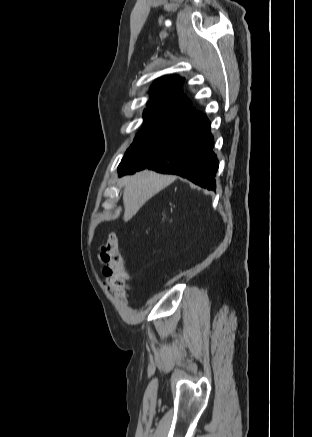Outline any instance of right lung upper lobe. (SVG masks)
<instances>
[{
	"label": "right lung upper lobe",
	"mask_w": 312,
	"mask_h": 437,
	"mask_svg": "<svg viewBox=\"0 0 312 437\" xmlns=\"http://www.w3.org/2000/svg\"><path fill=\"white\" fill-rule=\"evenodd\" d=\"M184 79L179 76H163L155 80L150 87L151 98L147 107L162 106L177 108L184 111L202 113L192 109L191 102L187 96L180 91Z\"/></svg>",
	"instance_id": "obj_1"
}]
</instances>
